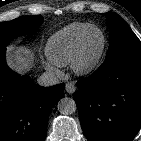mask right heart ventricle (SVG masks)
Masks as SVG:
<instances>
[{"mask_svg": "<svg viewBox=\"0 0 141 141\" xmlns=\"http://www.w3.org/2000/svg\"><path fill=\"white\" fill-rule=\"evenodd\" d=\"M91 26L89 23L74 22L54 33L45 47L49 60L58 66L71 64L82 35Z\"/></svg>", "mask_w": 141, "mask_h": 141, "instance_id": "right-heart-ventricle-1", "label": "right heart ventricle"}]
</instances>
